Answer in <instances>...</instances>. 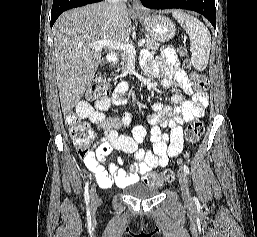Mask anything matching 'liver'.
<instances>
[{
  "label": "liver",
  "mask_w": 257,
  "mask_h": 237,
  "mask_svg": "<svg viewBox=\"0 0 257 237\" xmlns=\"http://www.w3.org/2000/svg\"><path fill=\"white\" fill-rule=\"evenodd\" d=\"M131 31L127 9L114 13L106 3H94L63 13L53 27L56 77L63 114L83 96L102 61L99 40L123 42Z\"/></svg>",
  "instance_id": "obj_1"
}]
</instances>
